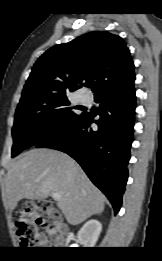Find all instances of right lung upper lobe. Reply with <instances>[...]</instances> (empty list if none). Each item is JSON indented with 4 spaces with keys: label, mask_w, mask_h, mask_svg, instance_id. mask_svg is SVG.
Returning <instances> with one entry per match:
<instances>
[{
    "label": "right lung upper lobe",
    "mask_w": 162,
    "mask_h": 261,
    "mask_svg": "<svg viewBox=\"0 0 162 261\" xmlns=\"http://www.w3.org/2000/svg\"><path fill=\"white\" fill-rule=\"evenodd\" d=\"M134 63L124 40L93 31L48 49L36 61L21 101L34 96H68L95 82V98L134 84Z\"/></svg>",
    "instance_id": "cb5924a9"
}]
</instances>
